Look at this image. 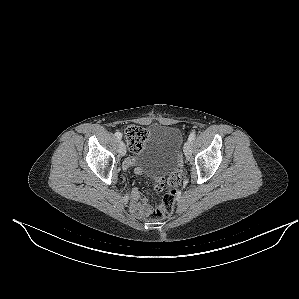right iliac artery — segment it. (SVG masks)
<instances>
[{
	"label": "right iliac artery",
	"mask_w": 299,
	"mask_h": 299,
	"mask_svg": "<svg viewBox=\"0 0 299 299\" xmlns=\"http://www.w3.org/2000/svg\"><path fill=\"white\" fill-rule=\"evenodd\" d=\"M115 136L117 139H121L122 138V134L120 132H116Z\"/></svg>",
	"instance_id": "82829eb1"
}]
</instances>
